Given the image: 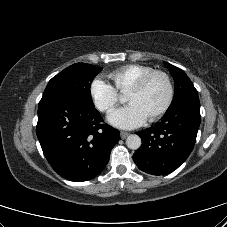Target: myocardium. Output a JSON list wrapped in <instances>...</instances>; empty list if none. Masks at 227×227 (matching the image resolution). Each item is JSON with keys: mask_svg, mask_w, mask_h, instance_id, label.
I'll list each match as a JSON object with an SVG mask.
<instances>
[{"mask_svg": "<svg viewBox=\"0 0 227 227\" xmlns=\"http://www.w3.org/2000/svg\"><path fill=\"white\" fill-rule=\"evenodd\" d=\"M155 76H161L165 79L168 88V95L164 105L158 111L148 117V120L151 122L161 118L170 109L173 103L175 97V87L171 76L166 71L153 70L138 79L128 90V93L141 91Z\"/></svg>", "mask_w": 227, "mask_h": 227, "instance_id": "1", "label": "myocardium"}]
</instances>
